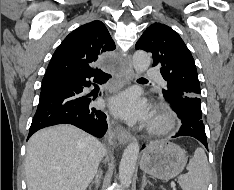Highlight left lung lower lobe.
<instances>
[{"mask_svg": "<svg viewBox=\"0 0 234 190\" xmlns=\"http://www.w3.org/2000/svg\"><path fill=\"white\" fill-rule=\"evenodd\" d=\"M172 107L182 121V126L180 127V130L173 137H179V136L194 137L198 139L201 143H203L204 146L208 149L203 121L184 113L179 106L172 105ZM144 147L145 146H143V148Z\"/></svg>", "mask_w": 234, "mask_h": 190, "instance_id": "0a47b994", "label": "left lung lower lobe"}]
</instances>
